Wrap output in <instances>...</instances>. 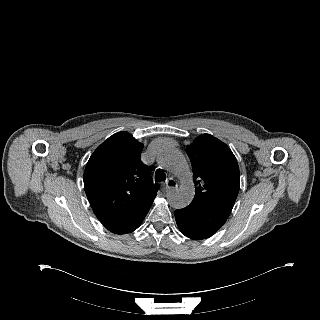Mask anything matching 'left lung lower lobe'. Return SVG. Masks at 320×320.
<instances>
[{"label": "left lung lower lobe", "mask_w": 320, "mask_h": 320, "mask_svg": "<svg viewBox=\"0 0 320 320\" xmlns=\"http://www.w3.org/2000/svg\"><path fill=\"white\" fill-rule=\"evenodd\" d=\"M229 215L226 210L195 200L187 207L175 211L176 222L182 234L195 240L211 237Z\"/></svg>", "instance_id": "left-lung-lower-lobe-1"}]
</instances>
